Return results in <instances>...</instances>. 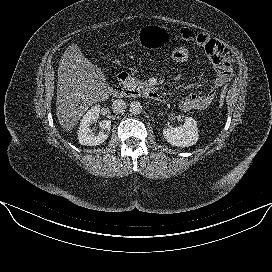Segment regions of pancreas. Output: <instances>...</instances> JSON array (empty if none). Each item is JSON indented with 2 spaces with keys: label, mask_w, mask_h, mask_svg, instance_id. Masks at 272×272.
Masks as SVG:
<instances>
[{
  "label": "pancreas",
  "mask_w": 272,
  "mask_h": 272,
  "mask_svg": "<svg viewBox=\"0 0 272 272\" xmlns=\"http://www.w3.org/2000/svg\"><path fill=\"white\" fill-rule=\"evenodd\" d=\"M143 83L142 82H140L139 80H134V85H133V87L135 88V87H137V86H139V85H142Z\"/></svg>",
  "instance_id": "1"
}]
</instances>
